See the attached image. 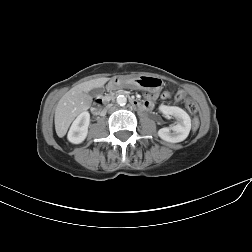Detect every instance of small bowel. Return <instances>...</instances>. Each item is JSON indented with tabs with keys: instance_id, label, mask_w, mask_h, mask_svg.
<instances>
[{
	"instance_id": "c3829d8e",
	"label": "small bowel",
	"mask_w": 252,
	"mask_h": 252,
	"mask_svg": "<svg viewBox=\"0 0 252 252\" xmlns=\"http://www.w3.org/2000/svg\"><path fill=\"white\" fill-rule=\"evenodd\" d=\"M180 93L185 97V94L183 92H180ZM154 98H155V96H150L148 100L143 102L145 110H149L153 107V105H154L153 99Z\"/></svg>"
}]
</instances>
